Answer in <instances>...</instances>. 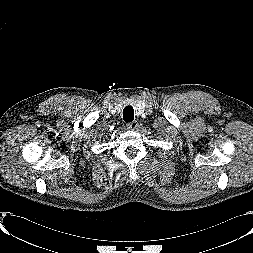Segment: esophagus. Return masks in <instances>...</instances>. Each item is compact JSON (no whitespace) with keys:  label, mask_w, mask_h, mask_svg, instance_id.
<instances>
[{"label":"esophagus","mask_w":253,"mask_h":253,"mask_svg":"<svg viewBox=\"0 0 253 253\" xmlns=\"http://www.w3.org/2000/svg\"><path fill=\"white\" fill-rule=\"evenodd\" d=\"M139 127V124L137 121H132L131 123L127 124V129L129 130H136Z\"/></svg>","instance_id":"1"}]
</instances>
